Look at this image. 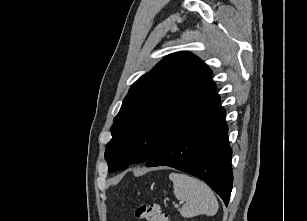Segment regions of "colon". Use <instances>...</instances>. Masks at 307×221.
Returning <instances> with one entry per match:
<instances>
[{
  "mask_svg": "<svg viewBox=\"0 0 307 221\" xmlns=\"http://www.w3.org/2000/svg\"><path fill=\"white\" fill-rule=\"evenodd\" d=\"M137 218L145 221H168V217L163 213L161 207L154 203H142L134 209Z\"/></svg>",
  "mask_w": 307,
  "mask_h": 221,
  "instance_id": "1",
  "label": "colon"
}]
</instances>
